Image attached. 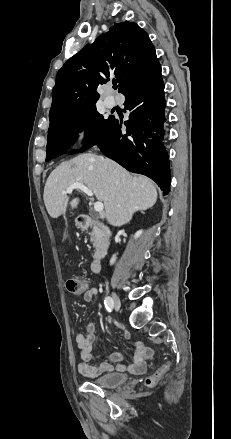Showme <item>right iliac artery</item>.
I'll return each instance as SVG.
<instances>
[{"mask_svg": "<svg viewBox=\"0 0 231 439\" xmlns=\"http://www.w3.org/2000/svg\"><path fill=\"white\" fill-rule=\"evenodd\" d=\"M104 304H105V307L108 311H111L113 306H114L113 300L109 296L105 297Z\"/></svg>", "mask_w": 231, "mask_h": 439, "instance_id": "1", "label": "right iliac artery"}]
</instances>
